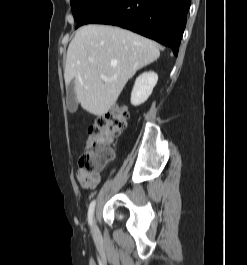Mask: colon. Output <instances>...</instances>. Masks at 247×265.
I'll list each match as a JSON object with an SVG mask.
<instances>
[{"label": "colon", "instance_id": "obj_1", "mask_svg": "<svg viewBox=\"0 0 247 265\" xmlns=\"http://www.w3.org/2000/svg\"><path fill=\"white\" fill-rule=\"evenodd\" d=\"M127 119L126 107L118 105L89 127L86 148L79 161L85 173L99 175L112 160L114 156L112 146L125 129Z\"/></svg>", "mask_w": 247, "mask_h": 265}]
</instances>
